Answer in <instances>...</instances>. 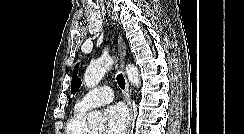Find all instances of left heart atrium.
Segmentation results:
<instances>
[{
	"label": "left heart atrium",
	"mask_w": 244,
	"mask_h": 134,
	"mask_svg": "<svg viewBox=\"0 0 244 134\" xmlns=\"http://www.w3.org/2000/svg\"><path fill=\"white\" fill-rule=\"evenodd\" d=\"M107 128L105 134H124L128 123V112L121 104L108 107L105 111Z\"/></svg>",
	"instance_id": "1"
}]
</instances>
